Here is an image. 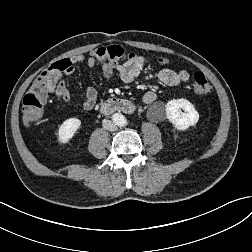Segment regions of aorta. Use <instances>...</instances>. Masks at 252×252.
<instances>
[{
  "mask_svg": "<svg viewBox=\"0 0 252 252\" xmlns=\"http://www.w3.org/2000/svg\"><path fill=\"white\" fill-rule=\"evenodd\" d=\"M113 122L118 126H125L127 123V120L124 115L121 113H115L112 115Z\"/></svg>",
  "mask_w": 252,
  "mask_h": 252,
  "instance_id": "obj_1",
  "label": "aorta"
}]
</instances>
